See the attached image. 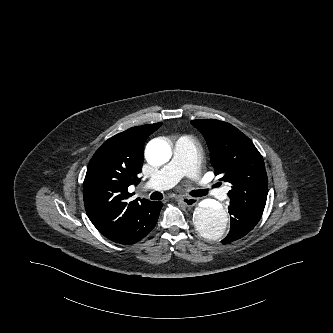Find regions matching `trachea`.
Wrapping results in <instances>:
<instances>
[{"label": "trachea", "instance_id": "1", "mask_svg": "<svg viewBox=\"0 0 333 333\" xmlns=\"http://www.w3.org/2000/svg\"><path fill=\"white\" fill-rule=\"evenodd\" d=\"M191 195L195 196V197H202V196L207 195V191L206 190H194L191 192ZM150 197L152 200H161L163 198V195L160 192H153Z\"/></svg>", "mask_w": 333, "mask_h": 333}]
</instances>
